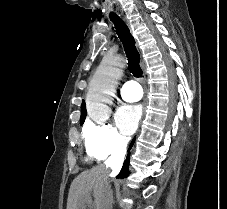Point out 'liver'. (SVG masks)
Wrapping results in <instances>:
<instances>
[{
    "label": "liver",
    "mask_w": 227,
    "mask_h": 209,
    "mask_svg": "<svg viewBox=\"0 0 227 209\" xmlns=\"http://www.w3.org/2000/svg\"><path fill=\"white\" fill-rule=\"evenodd\" d=\"M107 173L108 171L105 167H102V169L94 167L91 171L80 173L71 183L67 199V209H82L90 191H94L96 195L98 179H101V175H103L104 179H107Z\"/></svg>",
    "instance_id": "1"
}]
</instances>
